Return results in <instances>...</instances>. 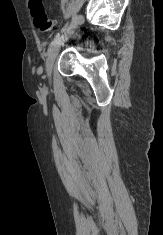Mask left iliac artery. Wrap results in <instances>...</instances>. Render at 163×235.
Returning <instances> with one entry per match:
<instances>
[{"instance_id":"1","label":"left iliac artery","mask_w":163,"mask_h":235,"mask_svg":"<svg viewBox=\"0 0 163 235\" xmlns=\"http://www.w3.org/2000/svg\"><path fill=\"white\" fill-rule=\"evenodd\" d=\"M79 23V17H77L76 15L73 16L71 22L69 24H66L62 30L61 33L62 35H57L56 38L50 43L49 45V49L48 52L51 50V48L60 42V40H65L66 39V32L69 30H72L73 28H75L77 26V24Z\"/></svg>"}]
</instances>
